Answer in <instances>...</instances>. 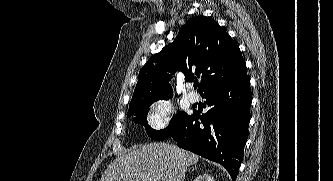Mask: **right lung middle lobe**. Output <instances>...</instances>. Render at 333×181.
Wrapping results in <instances>:
<instances>
[{
    "instance_id": "obj_1",
    "label": "right lung middle lobe",
    "mask_w": 333,
    "mask_h": 181,
    "mask_svg": "<svg viewBox=\"0 0 333 181\" xmlns=\"http://www.w3.org/2000/svg\"><path fill=\"white\" fill-rule=\"evenodd\" d=\"M154 101L157 100H150L141 103L140 105H137L133 108H130L128 110L127 118L131 116H135L134 121L136 123H140L142 125H145L147 134L152 140H163L166 138L171 137L177 128L181 125V123L188 117V114L186 113H178L175 117H173L172 122L169 124L168 127L162 130H154L150 128L146 122L147 120V112L148 107L154 103Z\"/></svg>"
}]
</instances>
